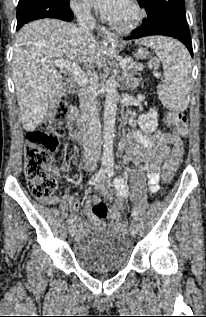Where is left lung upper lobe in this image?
Here are the masks:
<instances>
[{"mask_svg":"<svg viewBox=\"0 0 206 317\" xmlns=\"http://www.w3.org/2000/svg\"><path fill=\"white\" fill-rule=\"evenodd\" d=\"M147 12V19L161 15H175L185 17L184 0H137Z\"/></svg>","mask_w":206,"mask_h":317,"instance_id":"1","label":"left lung upper lobe"}]
</instances>
